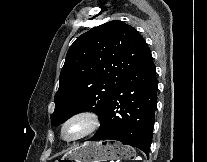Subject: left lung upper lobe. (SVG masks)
I'll use <instances>...</instances> for the list:
<instances>
[{
  "label": "left lung upper lobe",
  "instance_id": "obj_1",
  "mask_svg": "<svg viewBox=\"0 0 207 162\" xmlns=\"http://www.w3.org/2000/svg\"><path fill=\"white\" fill-rule=\"evenodd\" d=\"M149 51L137 30L118 20L79 36L60 73L52 124L83 111L101 118L117 88Z\"/></svg>",
  "mask_w": 207,
  "mask_h": 162
}]
</instances>
